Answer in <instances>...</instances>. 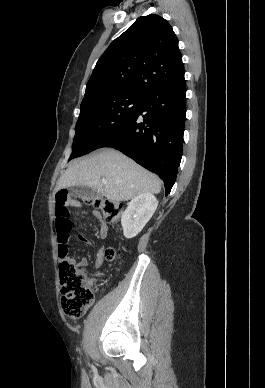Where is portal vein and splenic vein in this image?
<instances>
[{
  "label": "portal vein and splenic vein",
  "mask_w": 265,
  "mask_h": 388,
  "mask_svg": "<svg viewBox=\"0 0 265 388\" xmlns=\"http://www.w3.org/2000/svg\"><path fill=\"white\" fill-rule=\"evenodd\" d=\"M101 182H102L103 186H105V188H108L107 180H105V178H102Z\"/></svg>",
  "instance_id": "portal-vein-and-splenic-vein-1"
}]
</instances>
